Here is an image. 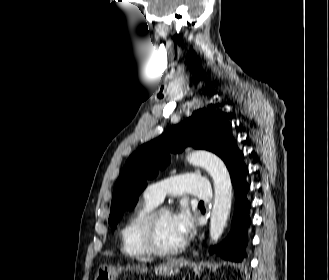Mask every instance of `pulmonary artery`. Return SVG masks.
I'll list each match as a JSON object with an SVG mask.
<instances>
[{
  "label": "pulmonary artery",
  "instance_id": "obj_1",
  "mask_svg": "<svg viewBox=\"0 0 329 280\" xmlns=\"http://www.w3.org/2000/svg\"><path fill=\"white\" fill-rule=\"evenodd\" d=\"M144 194L158 203L162 202L167 194H192L199 199L208 201L212 196V189L206 178L187 172L149 185Z\"/></svg>",
  "mask_w": 329,
  "mask_h": 280
}]
</instances>
